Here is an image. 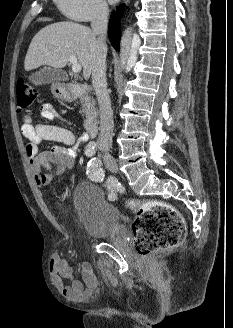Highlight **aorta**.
Instances as JSON below:
<instances>
[{
  "label": "aorta",
  "instance_id": "1",
  "mask_svg": "<svg viewBox=\"0 0 233 328\" xmlns=\"http://www.w3.org/2000/svg\"><path fill=\"white\" fill-rule=\"evenodd\" d=\"M141 40L138 34H133L130 27L126 28L120 42V62L122 68L127 71L135 65L137 61V52Z\"/></svg>",
  "mask_w": 233,
  "mask_h": 328
}]
</instances>
